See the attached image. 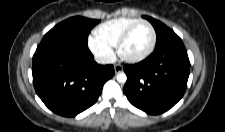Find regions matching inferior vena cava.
Segmentation results:
<instances>
[{"mask_svg":"<svg viewBox=\"0 0 225 132\" xmlns=\"http://www.w3.org/2000/svg\"><path fill=\"white\" fill-rule=\"evenodd\" d=\"M95 60L99 64H111L116 61L115 57H112V58L97 57Z\"/></svg>","mask_w":225,"mask_h":132,"instance_id":"1","label":"inferior vena cava"}]
</instances>
